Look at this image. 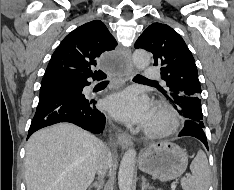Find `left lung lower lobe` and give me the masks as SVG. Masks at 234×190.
Listing matches in <instances>:
<instances>
[{"label": "left lung lower lobe", "mask_w": 234, "mask_h": 190, "mask_svg": "<svg viewBox=\"0 0 234 190\" xmlns=\"http://www.w3.org/2000/svg\"><path fill=\"white\" fill-rule=\"evenodd\" d=\"M204 124L198 123L196 121L186 119L185 120V126L182 129L181 133L179 136H191L199 139L204 143L206 148L208 149V143H207V138L206 135L203 131Z\"/></svg>", "instance_id": "0a47b994"}]
</instances>
